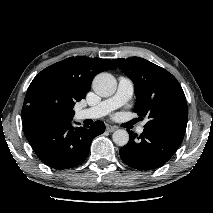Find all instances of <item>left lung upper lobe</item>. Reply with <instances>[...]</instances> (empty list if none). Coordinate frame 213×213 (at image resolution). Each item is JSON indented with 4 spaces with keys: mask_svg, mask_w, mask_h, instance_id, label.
Listing matches in <instances>:
<instances>
[{
    "mask_svg": "<svg viewBox=\"0 0 213 213\" xmlns=\"http://www.w3.org/2000/svg\"><path fill=\"white\" fill-rule=\"evenodd\" d=\"M135 85L134 112L148 118L144 129L183 140L188 109L177 79L164 68L140 57L114 59Z\"/></svg>",
    "mask_w": 213,
    "mask_h": 213,
    "instance_id": "obj_1",
    "label": "left lung upper lobe"
}]
</instances>
